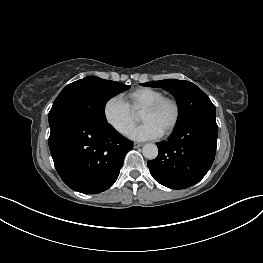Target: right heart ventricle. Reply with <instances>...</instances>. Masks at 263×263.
Segmentation results:
<instances>
[{
	"label": "right heart ventricle",
	"instance_id": "obj_1",
	"mask_svg": "<svg viewBox=\"0 0 263 263\" xmlns=\"http://www.w3.org/2000/svg\"><path fill=\"white\" fill-rule=\"evenodd\" d=\"M164 97V94L150 87H140L126 95L127 103L134 112L142 110L146 105Z\"/></svg>",
	"mask_w": 263,
	"mask_h": 263
}]
</instances>
